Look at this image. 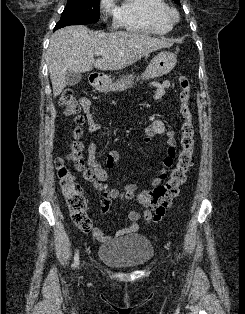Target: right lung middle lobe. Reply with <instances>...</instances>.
<instances>
[{"label": "right lung middle lobe", "instance_id": "dd1d6c3e", "mask_svg": "<svg viewBox=\"0 0 245 314\" xmlns=\"http://www.w3.org/2000/svg\"><path fill=\"white\" fill-rule=\"evenodd\" d=\"M100 18L99 0H68L55 29L68 25L97 22Z\"/></svg>", "mask_w": 245, "mask_h": 314}]
</instances>
